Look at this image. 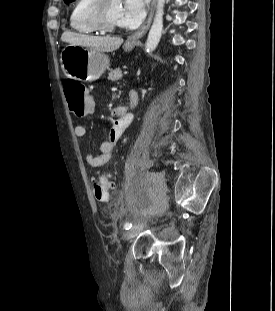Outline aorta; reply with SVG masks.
Wrapping results in <instances>:
<instances>
[{
    "mask_svg": "<svg viewBox=\"0 0 275 311\" xmlns=\"http://www.w3.org/2000/svg\"><path fill=\"white\" fill-rule=\"evenodd\" d=\"M164 4L165 0H157L155 17L145 45L147 53L154 51L161 39L163 32Z\"/></svg>",
    "mask_w": 275,
    "mask_h": 311,
    "instance_id": "1",
    "label": "aorta"
}]
</instances>
